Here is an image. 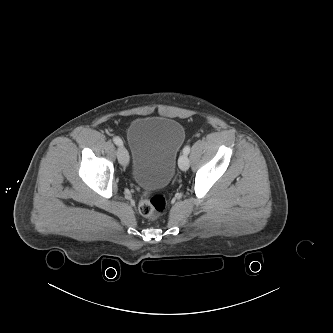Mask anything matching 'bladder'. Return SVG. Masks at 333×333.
<instances>
[{
	"label": "bladder",
	"mask_w": 333,
	"mask_h": 333,
	"mask_svg": "<svg viewBox=\"0 0 333 333\" xmlns=\"http://www.w3.org/2000/svg\"><path fill=\"white\" fill-rule=\"evenodd\" d=\"M185 140L183 125L164 117H142L128 128L131 172L135 182L146 189L163 188L175 171L178 152Z\"/></svg>",
	"instance_id": "1"
}]
</instances>
